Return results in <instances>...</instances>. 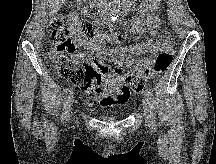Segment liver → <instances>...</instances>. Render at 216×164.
<instances>
[{"label": "liver", "mask_w": 216, "mask_h": 164, "mask_svg": "<svg viewBox=\"0 0 216 164\" xmlns=\"http://www.w3.org/2000/svg\"><path fill=\"white\" fill-rule=\"evenodd\" d=\"M64 1L65 0H49L52 5L50 15H54L55 13H57Z\"/></svg>", "instance_id": "liver-1"}]
</instances>
